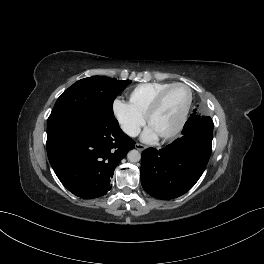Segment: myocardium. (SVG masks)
I'll use <instances>...</instances> for the list:
<instances>
[{"label":"myocardium","instance_id":"1","mask_svg":"<svg viewBox=\"0 0 264 264\" xmlns=\"http://www.w3.org/2000/svg\"><path fill=\"white\" fill-rule=\"evenodd\" d=\"M175 87H183L187 90L188 92V99H187V102L183 108V111L179 117V120L178 122L176 123V125L171 129L169 130L168 132L164 133V134H161L159 135V137L161 139H169V138H172L174 137L175 135H177L181 129L183 128L186 120H187V117H188V113H189V110H190V107H191V104H192V90L191 88L184 84V83H180V82H176V83H171L169 84L167 87L163 88L156 96L155 98L153 99V101L151 102L150 106L148 107L144 117H145V121H146V124L149 125L150 124V120L152 118V116L156 113V111L159 109L165 95L173 88Z\"/></svg>","mask_w":264,"mask_h":264}]
</instances>
